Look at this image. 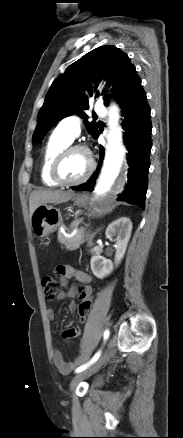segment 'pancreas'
Wrapping results in <instances>:
<instances>
[{"label": "pancreas", "instance_id": "obj_1", "mask_svg": "<svg viewBox=\"0 0 183 438\" xmlns=\"http://www.w3.org/2000/svg\"><path fill=\"white\" fill-rule=\"evenodd\" d=\"M58 241L64 245L67 250H76L84 242V229L80 228L72 237H66L62 232L58 231Z\"/></svg>", "mask_w": 183, "mask_h": 438}]
</instances>
